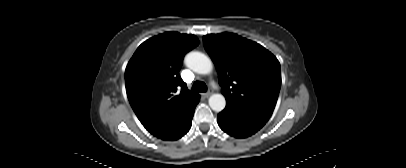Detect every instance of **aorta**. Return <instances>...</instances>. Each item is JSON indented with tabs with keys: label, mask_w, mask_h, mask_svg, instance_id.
<instances>
[{
	"label": "aorta",
	"mask_w": 406,
	"mask_h": 168,
	"mask_svg": "<svg viewBox=\"0 0 406 168\" xmlns=\"http://www.w3.org/2000/svg\"><path fill=\"white\" fill-rule=\"evenodd\" d=\"M185 64L198 74H209L213 69L212 61L205 54L192 51L185 56ZM209 106L213 111L220 112L226 106L225 97L222 94H213L209 98Z\"/></svg>",
	"instance_id": "obj_1"
}]
</instances>
